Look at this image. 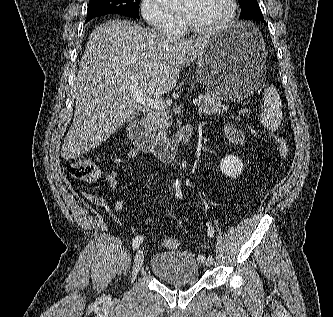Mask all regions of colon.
Returning a JSON list of instances; mask_svg holds the SVG:
<instances>
[{
	"label": "colon",
	"instance_id": "5ec220e1",
	"mask_svg": "<svg viewBox=\"0 0 333 317\" xmlns=\"http://www.w3.org/2000/svg\"><path fill=\"white\" fill-rule=\"evenodd\" d=\"M241 114L245 117L251 115V110L244 108ZM271 138L274 141L277 151L282 158L289 154V144L286 138L277 133H271ZM69 174L80 181L94 184L98 181L100 173L94 161L88 158H79L74 160L67 167ZM161 245L167 249H176L179 247V241L172 237H165L161 240Z\"/></svg>",
	"mask_w": 333,
	"mask_h": 317
}]
</instances>
